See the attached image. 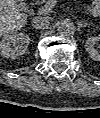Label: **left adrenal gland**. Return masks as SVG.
Returning a JSON list of instances; mask_svg holds the SVG:
<instances>
[{
  "mask_svg": "<svg viewBox=\"0 0 100 118\" xmlns=\"http://www.w3.org/2000/svg\"><path fill=\"white\" fill-rule=\"evenodd\" d=\"M77 24H78V31H80V29L83 28V27L89 26V24L84 22V21H81V22L78 21Z\"/></svg>",
  "mask_w": 100,
  "mask_h": 118,
  "instance_id": "a2214340",
  "label": "left adrenal gland"
}]
</instances>
